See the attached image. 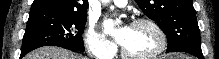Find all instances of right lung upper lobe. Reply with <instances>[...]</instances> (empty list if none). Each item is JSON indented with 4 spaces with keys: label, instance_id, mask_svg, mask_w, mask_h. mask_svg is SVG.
Masks as SVG:
<instances>
[{
    "label": "right lung upper lobe",
    "instance_id": "cb5924a9",
    "mask_svg": "<svg viewBox=\"0 0 219 59\" xmlns=\"http://www.w3.org/2000/svg\"><path fill=\"white\" fill-rule=\"evenodd\" d=\"M88 0H34L30 13L47 12L62 15L87 14Z\"/></svg>",
    "mask_w": 219,
    "mask_h": 59
}]
</instances>
